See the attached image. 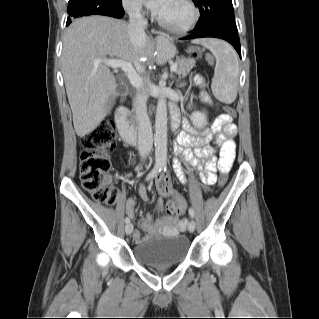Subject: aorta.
<instances>
[{
    "mask_svg": "<svg viewBox=\"0 0 319 319\" xmlns=\"http://www.w3.org/2000/svg\"><path fill=\"white\" fill-rule=\"evenodd\" d=\"M155 163L165 166L167 163V104L166 98L158 100L155 116Z\"/></svg>",
    "mask_w": 319,
    "mask_h": 319,
    "instance_id": "aorta-1",
    "label": "aorta"
}]
</instances>
